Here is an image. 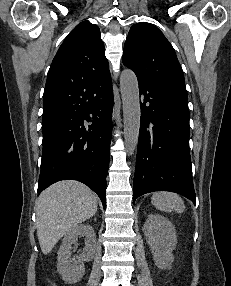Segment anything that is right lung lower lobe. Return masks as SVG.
Masks as SVG:
<instances>
[{
  "label": "right lung lower lobe",
  "mask_w": 231,
  "mask_h": 286,
  "mask_svg": "<svg viewBox=\"0 0 231 286\" xmlns=\"http://www.w3.org/2000/svg\"><path fill=\"white\" fill-rule=\"evenodd\" d=\"M112 109L109 75L79 86L43 117L38 193L60 180H78L96 192L105 207ZM84 120L92 124L84 126Z\"/></svg>",
  "instance_id": "obj_1"
}]
</instances>
